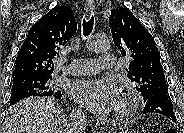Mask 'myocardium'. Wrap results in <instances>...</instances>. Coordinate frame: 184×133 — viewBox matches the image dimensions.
Wrapping results in <instances>:
<instances>
[{
    "mask_svg": "<svg viewBox=\"0 0 184 133\" xmlns=\"http://www.w3.org/2000/svg\"><path fill=\"white\" fill-rule=\"evenodd\" d=\"M137 103L133 93L130 90H125L121 93L120 101L115 110V117L118 120L129 118L136 110Z\"/></svg>",
    "mask_w": 184,
    "mask_h": 133,
    "instance_id": "f54148a6",
    "label": "myocardium"
}]
</instances>
